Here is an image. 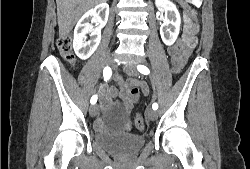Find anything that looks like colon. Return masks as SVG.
<instances>
[{
	"label": "colon",
	"mask_w": 250,
	"mask_h": 169,
	"mask_svg": "<svg viewBox=\"0 0 250 169\" xmlns=\"http://www.w3.org/2000/svg\"><path fill=\"white\" fill-rule=\"evenodd\" d=\"M180 6L183 8L184 10V15H188V21H195V14L193 13V8L192 5H190L189 3H187V0H180L179 1ZM187 38L189 39V41L191 43H195V38L191 35V32L187 30ZM72 34H67L66 36H62L57 38V50L59 52V54L61 55V57L64 59L65 62L69 63V64H74L75 62V55L73 53V49H72ZM171 72L173 74H180L181 73V69L178 65L174 64L171 67ZM131 94L132 100L133 101H139L140 99V91L139 89H135L133 91L129 92ZM135 126L137 127V129L139 131H143L145 129V125L143 122V115H141V111H136V115H135Z\"/></svg>",
	"instance_id": "obj_1"
}]
</instances>
